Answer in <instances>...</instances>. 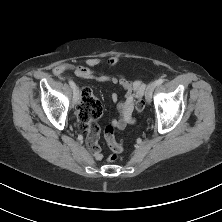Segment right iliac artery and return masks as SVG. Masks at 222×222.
<instances>
[{
    "instance_id": "1",
    "label": "right iliac artery",
    "mask_w": 222,
    "mask_h": 222,
    "mask_svg": "<svg viewBox=\"0 0 222 222\" xmlns=\"http://www.w3.org/2000/svg\"><path fill=\"white\" fill-rule=\"evenodd\" d=\"M69 84H70L71 88H72L73 90H75L76 85H75V83H74L72 80H69Z\"/></svg>"
}]
</instances>
